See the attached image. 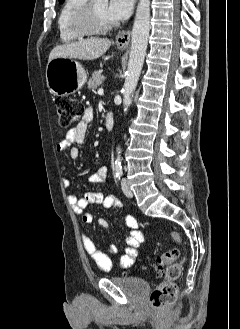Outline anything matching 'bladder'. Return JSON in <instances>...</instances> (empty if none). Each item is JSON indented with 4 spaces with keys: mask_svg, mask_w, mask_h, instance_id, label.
<instances>
[{
    "mask_svg": "<svg viewBox=\"0 0 240 329\" xmlns=\"http://www.w3.org/2000/svg\"><path fill=\"white\" fill-rule=\"evenodd\" d=\"M111 280L118 287L125 289L129 294L135 297L144 296L149 290V283L138 276H118Z\"/></svg>",
    "mask_w": 240,
    "mask_h": 329,
    "instance_id": "31cf9c89",
    "label": "bladder"
}]
</instances>
